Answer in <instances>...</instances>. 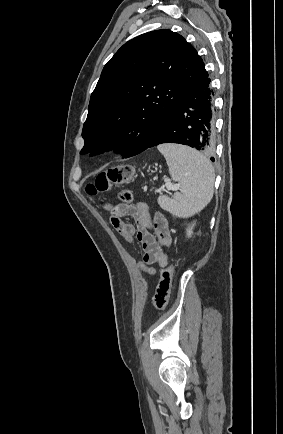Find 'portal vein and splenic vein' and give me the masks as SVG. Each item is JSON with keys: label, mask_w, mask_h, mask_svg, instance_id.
<instances>
[{"label": "portal vein and splenic vein", "mask_w": 283, "mask_h": 434, "mask_svg": "<svg viewBox=\"0 0 283 434\" xmlns=\"http://www.w3.org/2000/svg\"><path fill=\"white\" fill-rule=\"evenodd\" d=\"M165 187H166L168 190H171V189L174 188V186H173L170 182H167V183L165 184Z\"/></svg>", "instance_id": "obj_1"}]
</instances>
